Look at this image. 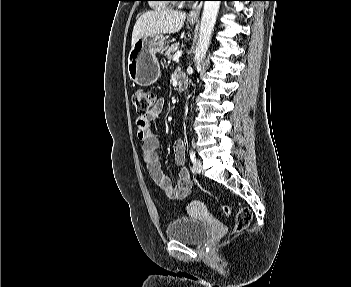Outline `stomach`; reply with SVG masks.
Segmentation results:
<instances>
[{
    "label": "stomach",
    "mask_w": 351,
    "mask_h": 287,
    "mask_svg": "<svg viewBox=\"0 0 351 287\" xmlns=\"http://www.w3.org/2000/svg\"><path fill=\"white\" fill-rule=\"evenodd\" d=\"M193 25L195 22L190 21ZM167 37L153 34L139 38L128 56V73L130 79L140 86H150L160 75V66L156 53H163L167 48Z\"/></svg>",
    "instance_id": "1"
}]
</instances>
